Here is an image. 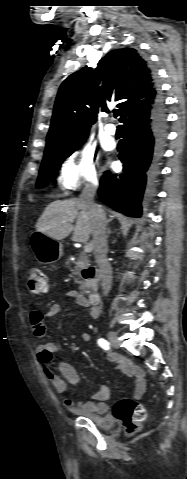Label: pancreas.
Segmentation results:
<instances>
[{
	"label": "pancreas",
	"instance_id": "1",
	"mask_svg": "<svg viewBox=\"0 0 187 479\" xmlns=\"http://www.w3.org/2000/svg\"><path fill=\"white\" fill-rule=\"evenodd\" d=\"M71 262V258H68L66 264L69 265ZM75 267L72 269V274L75 276H82V271L85 269H88L90 264H89V259L86 254H81L80 257L74 261ZM80 287L79 289L83 292H86L87 289L91 287V281L82 279L79 281Z\"/></svg>",
	"mask_w": 187,
	"mask_h": 479
}]
</instances>
